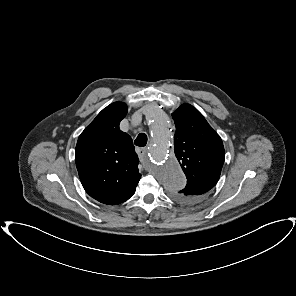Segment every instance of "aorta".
Segmentation results:
<instances>
[{"label":"aorta","mask_w":296,"mask_h":296,"mask_svg":"<svg viewBox=\"0 0 296 296\" xmlns=\"http://www.w3.org/2000/svg\"><path fill=\"white\" fill-rule=\"evenodd\" d=\"M148 116L151 120L150 157L156 177L168 190L181 189L186 183V178L178 162L173 160V122L155 104L148 107Z\"/></svg>","instance_id":"obj_1"}]
</instances>
